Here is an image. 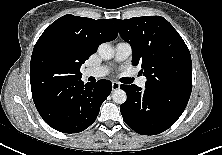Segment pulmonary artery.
Listing matches in <instances>:
<instances>
[{
    "label": "pulmonary artery",
    "instance_id": "e3ab8cb5",
    "mask_svg": "<svg viewBox=\"0 0 222 155\" xmlns=\"http://www.w3.org/2000/svg\"><path fill=\"white\" fill-rule=\"evenodd\" d=\"M132 54V47L128 42L120 41L115 46V61L122 62L128 59ZM109 73L108 66H96V67H89L84 71V75L86 77H95L101 78L104 77ZM136 84L139 87H145L146 78L140 77L137 79Z\"/></svg>",
    "mask_w": 222,
    "mask_h": 155
}]
</instances>
